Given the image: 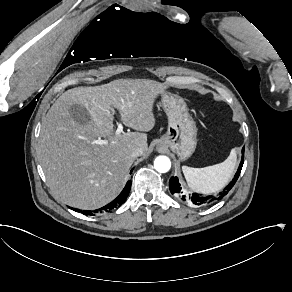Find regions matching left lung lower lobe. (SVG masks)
Returning a JSON list of instances; mask_svg holds the SVG:
<instances>
[{
    "label": "left lung lower lobe",
    "mask_w": 292,
    "mask_h": 292,
    "mask_svg": "<svg viewBox=\"0 0 292 292\" xmlns=\"http://www.w3.org/2000/svg\"><path fill=\"white\" fill-rule=\"evenodd\" d=\"M243 162H244V149L242 150V160L241 163L239 165L238 171L236 172L233 180L230 182V184H228L225 189L220 192L219 194H217L216 196L214 195H208V196H202L196 193H193L192 195H187L182 191V188L180 186V183L178 181L177 177H171L169 180V189L170 192L175 195L179 200H182L184 202L190 203L192 202L194 205L196 206H206L209 204L214 203L217 200H221L225 195L228 194V192L233 188V186L235 185L242 166H243Z\"/></svg>",
    "instance_id": "obj_1"
}]
</instances>
